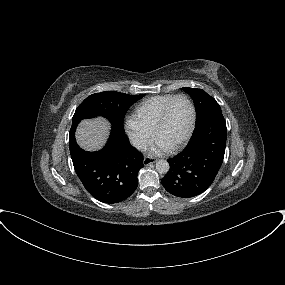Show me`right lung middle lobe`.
I'll list each match as a JSON object with an SVG mask.
<instances>
[{"label":"right lung middle lobe","instance_id":"right-lung-middle-lobe-1","mask_svg":"<svg viewBox=\"0 0 285 285\" xmlns=\"http://www.w3.org/2000/svg\"><path fill=\"white\" fill-rule=\"evenodd\" d=\"M144 95H128L116 91L95 93L87 97L76 109L72 124L82 119L103 116L112 124V130L124 133L123 121L129 107Z\"/></svg>","mask_w":285,"mask_h":285}]
</instances>
